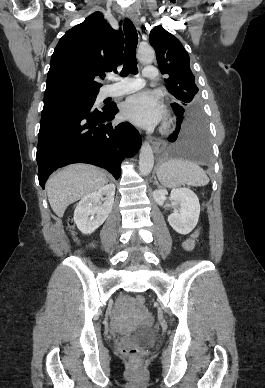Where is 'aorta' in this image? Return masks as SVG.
Returning <instances> with one entry per match:
<instances>
[{"mask_svg":"<svg viewBox=\"0 0 265 388\" xmlns=\"http://www.w3.org/2000/svg\"><path fill=\"white\" fill-rule=\"evenodd\" d=\"M155 58L152 48H144L139 52V60L144 63H151ZM154 166L153 150L148 142H144L139 154V172L143 176L151 173Z\"/></svg>","mask_w":265,"mask_h":388,"instance_id":"obj_1","label":"aorta"}]
</instances>
